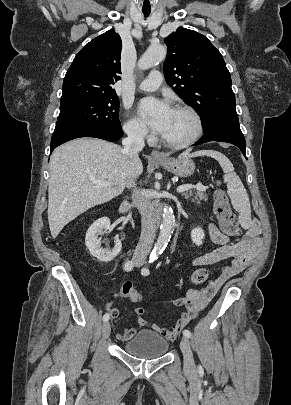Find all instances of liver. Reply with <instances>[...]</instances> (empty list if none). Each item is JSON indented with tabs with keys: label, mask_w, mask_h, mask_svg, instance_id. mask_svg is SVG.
<instances>
[{
	"label": "liver",
	"mask_w": 291,
	"mask_h": 405,
	"mask_svg": "<svg viewBox=\"0 0 291 405\" xmlns=\"http://www.w3.org/2000/svg\"><path fill=\"white\" fill-rule=\"evenodd\" d=\"M142 171L138 155L130 160L119 145L104 140L79 138L57 148L50 159L48 187L52 237L88 209L120 195L128 180ZM92 178L111 186L97 187Z\"/></svg>",
	"instance_id": "1"
}]
</instances>
